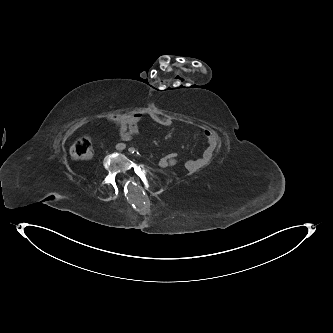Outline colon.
<instances>
[{"mask_svg": "<svg viewBox=\"0 0 333 333\" xmlns=\"http://www.w3.org/2000/svg\"><path fill=\"white\" fill-rule=\"evenodd\" d=\"M71 156L74 160H87L93 154L91 139L89 137H82L76 140L70 150ZM179 155L178 151L167 153L164 157L160 158V164L170 162L174 157Z\"/></svg>", "mask_w": 333, "mask_h": 333, "instance_id": "1", "label": "colon"}]
</instances>
